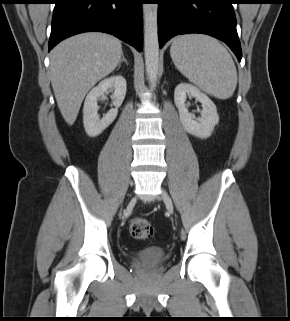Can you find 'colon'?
<instances>
[{
  "instance_id": "5ec220e1",
  "label": "colon",
  "mask_w": 290,
  "mask_h": 321,
  "mask_svg": "<svg viewBox=\"0 0 290 321\" xmlns=\"http://www.w3.org/2000/svg\"><path fill=\"white\" fill-rule=\"evenodd\" d=\"M130 234L136 239H148L153 234L150 222L142 217H135L129 225Z\"/></svg>"
}]
</instances>
